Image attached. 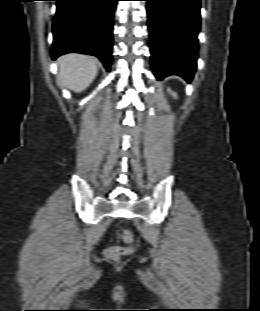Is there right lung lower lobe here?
<instances>
[{"label":"right lung lower lobe","mask_w":260,"mask_h":311,"mask_svg":"<svg viewBox=\"0 0 260 311\" xmlns=\"http://www.w3.org/2000/svg\"><path fill=\"white\" fill-rule=\"evenodd\" d=\"M52 58L66 53L98 57L110 71L113 17L117 0H56Z\"/></svg>","instance_id":"right-lung-lower-lobe-1"}]
</instances>
